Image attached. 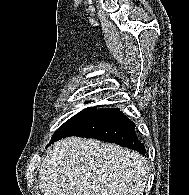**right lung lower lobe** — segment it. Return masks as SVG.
<instances>
[{
	"instance_id": "1",
	"label": "right lung lower lobe",
	"mask_w": 189,
	"mask_h": 195,
	"mask_svg": "<svg viewBox=\"0 0 189 195\" xmlns=\"http://www.w3.org/2000/svg\"><path fill=\"white\" fill-rule=\"evenodd\" d=\"M135 124L118 108L98 109L73 136L112 142L145 156L144 144L138 140Z\"/></svg>"
}]
</instances>
